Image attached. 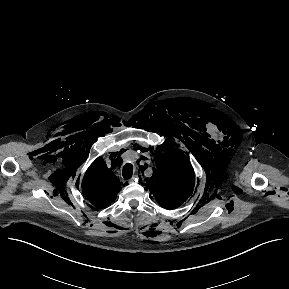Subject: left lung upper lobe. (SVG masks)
Wrapping results in <instances>:
<instances>
[{
  "instance_id": "1",
  "label": "left lung upper lobe",
  "mask_w": 289,
  "mask_h": 289,
  "mask_svg": "<svg viewBox=\"0 0 289 289\" xmlns=\"http://www.w3.org/2000/svg\"><path fill=\"white\" fill-rule=\"evenodd\" d=\"M156 155L157 168H153L152 178L147 179L146 186L162 207L175 209L192 194L194 171L181 151L163 148V151L157 150Z\"/></svg>"
}]
</instances>
